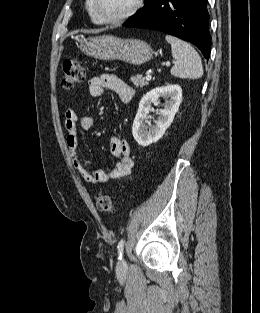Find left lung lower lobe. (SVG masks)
Masks as SVG:
<instances>
[{"label":"left lung lower lobe","mask_w":260,"mask_h":313,"mask_svg":"<svg viewBox=\"0 0 260 313\" xmlns=\"http://www.w3.org/2000/svg\"><path fill=\"white\" fill-rule=\"evenodd\" d=\"M123 26L162 31L197 46L206 59L211 49L207 0H150Z\"/></svg>","instance_id":"1"}]
</instances>
